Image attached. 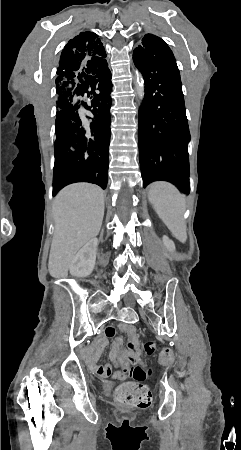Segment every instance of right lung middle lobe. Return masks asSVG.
Segmentation results:
<instances>
[{
    "label": "right lung middle lobe",
    "mask_w": 241,
    "mask_h": 450,
    "mask_svg": "<svg viewBox=\"0 0 241 450\" xmlns=\"http://www.w3.org/2000/svg\"><path fill=\"white\" fill-rule=\"evenodd\" d=\"M61 106H62V105L57 101V114H58V111H59V109H60Z\"/></svg>",
    "instance_id": "obj_1"
}]
</instances>
